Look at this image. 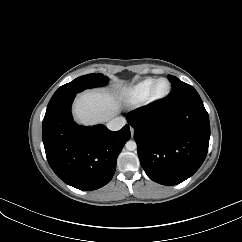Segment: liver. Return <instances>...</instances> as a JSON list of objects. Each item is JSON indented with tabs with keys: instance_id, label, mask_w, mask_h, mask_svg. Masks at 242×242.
<instances>
[{
	"instance_id": "1",
	"label": "liver",
	"mask_w": 242,
	"mask_h": 242,
	"mask_svg": "<svg viewBox=\"0 0 242 242\" xmlns=\"http://www.w3.org/2000/svg\"><path fill=\"white\" fill-rule=\"evenodd\" d=\"M119 112L114 93L88 90L78 95L73 105L75 120L82 125H94L111 120Z\"/></svg>"
}]
</instances>
